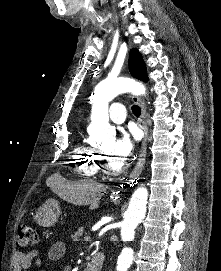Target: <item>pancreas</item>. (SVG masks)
Here are the masks:
<instances>
[{"instance_id":"1","label":"pancreas","mask_w":221,"mask_h":271,"mask_svg":"<svg viewBox=\"0 0 221 271\" xmlns=\"http://www.w3.org/2000/svg\"><path fill=\"white\" fill-rule=\"evenodd\" d=\"M84 233V229L83 227H79V229H77V231H75L74 235H72V237L70 238L71 242H81L82 238L80 237V235H83Z\"/></svg>"}]
</instances>
